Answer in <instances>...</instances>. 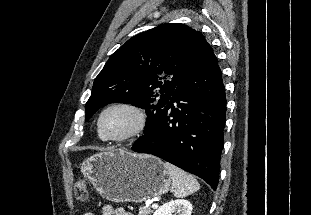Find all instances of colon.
<instances>
[{
	"label": "colon",
	"instance_id": "colon-1",
	"mask_svg": "<svg viewBox=\"0 0 311 215\" xmlns=\"http://www.w3.org/2000/svg\"><path fill=\"white\" fill-rule=\"evenodd\" d=\"M74 194L76 199L80 201H86L88 198V189L84 181L80 180L75 184Z\"/></svg>",
	"mask_w": 311,
	"mask_h": 215
}]
</instances>
